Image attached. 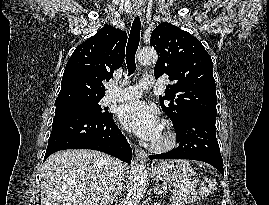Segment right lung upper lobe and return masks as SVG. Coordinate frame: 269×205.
Masks as SVG:
<instances>
[{
    "mask_svg": "<svg viewBox=\"0 0 269 205\" xmlns=\"http://www.w3.org/2000/svg\"><path fill=\"white\" fill-rule=\"evenodd\" d=\"M126 41L125 31L106 25L79 45L66 64L56 107L101 100L102 81L122 65Z\"/></svg>",
    "mask_w": 269,
    "mask_h": 205,
    "instance_id": "right-lung-upper-lobe-1",
    "label": "right lung upper lobe"
}]
</instances>
